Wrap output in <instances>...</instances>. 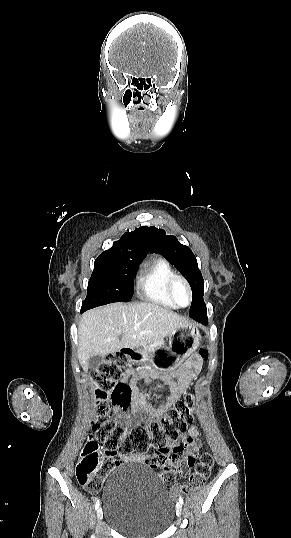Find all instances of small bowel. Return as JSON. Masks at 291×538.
Wrapping results in <instances>:
<instances>
[{
    "label": "small bowel",
    "mask_w": 291,
    "mask_h": 538,
    "mask_svg": "<svg viewBox=\"0 0 291 538\" xmlns=\"http://www.w3.org/2000/svg\"><path fill=\"white\" fill-rule=\"evenodd\" d=\"M202 370L201 362L197 354H188L186 356V363H178L176 369H173L171 376L164 374L162 376L154 375H134L132 370H127L123 376L121 382L127 384L132 393L131 410L129 412L123 411L121 407L114 404L113 414L117 422L125 426L128 430L132 425L144 418L158 419L166 413V411L184 394L190 386L191 381L196 376H199ZM157 378H160L162 383L156 384L153 389L157 391L167 390L164 403L153 406L146 393L140 391L139 381L145 379L147 382H153ZM182 445L185 447L187 454L197 455L200 448L199 430L196 425L190 427L186 433H182L179 436ZM150 456L145 455H131L120 456V461L123 463H141L150 468H157L148 464ZM176 471L185 476L191 469L186 464L176 465Z\"/></svg>",
    "instance_id": "c3829d8e"
}]
</instances>
